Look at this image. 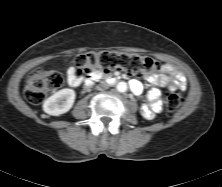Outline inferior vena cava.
I'll return each mask as SVG.
<instances>
[{"instance_id":"inferior-vena-cava-1","label":"inferior vena cava","mask_w":222,"mask_h":187,"mask_svg":"<svg viewBox=\"0 0 222 187\" xmlns=\"http://www.w3.org/2000/svg\"><path fill=\"white\" fill-rule=\"evenodd\" d=\"M98 88H99L100 90L108 89V88H109V84L106 83L105 81H101L100 84H99V86H98Z\"/></svg>"}]
</instances>
